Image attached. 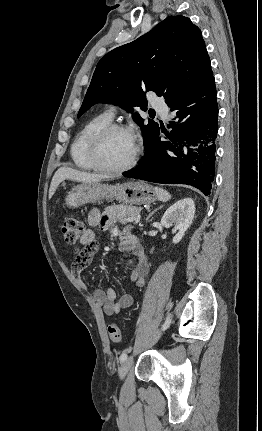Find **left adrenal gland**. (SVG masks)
<instances>
[{"instance_id": "left-adrenal-gland-1", "label": "left adrenal gland", "mask_w": 262, "mask_h": 431, "mask_svg": "<svg viewBox=\"0 0 262 431\" xmlns=\"http://www.w3.org/2000/svg\"><path fill=\"white\" fill-rule=\"evenodd\" d=\"M159 208H161V206L160 207H158V208H156L154 211H152L150 214H149V216L147 217V219L146 220H148Z\"/></svg>"}]
</instances>
